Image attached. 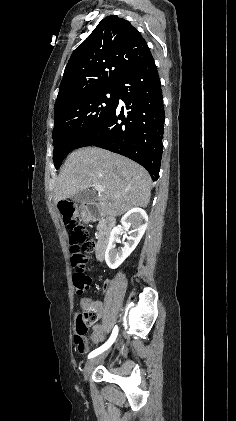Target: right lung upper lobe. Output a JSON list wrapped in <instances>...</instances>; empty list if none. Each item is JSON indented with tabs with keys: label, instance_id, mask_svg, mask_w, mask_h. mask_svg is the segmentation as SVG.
Wrapping results in <instances>:
<instances>
[{
	"label": "right lung upper lobe",
	"instance_id": "right-lung-upper-lobe-1",
	"mask_svg": "<svg viewBox=\"0 0 236 421\" xmlns=\"http://www.w3.org/2000/svg\"><path fill=\"white\" fill-rule=\"evenodd\" d=\"M151 56L146 41L130 22L117 16L104 18L72 53L54 110L78 96L115 88L123 75Z\"/></svg>",
	"mask_w": 236,
	"mask_h": 421
}]
</instances>
